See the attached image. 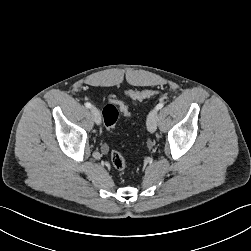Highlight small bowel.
Returning a JSON list of instances; mask_svg holds the SVG:
<instances>
[{
    "label": "small bowel",
    "mask_w": 251,
    "mask_h": 251,
    "mask_svg": "<svg viewBox=\"0 0 251 251\" xmlns=\"http://www.w3.org/2000/svg\"><path fill=\"white\" fill-rule=\"evenodd\" d=\"M102 151L105 153V152H107V147L106 146H103L102 147Z\"/></svg>",
    "instance_id": "obj_1"
}]
</instances>
